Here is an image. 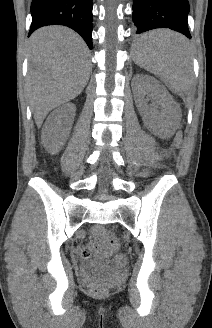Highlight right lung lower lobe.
<instances>
[{"mask_svg":"<svg viewBox=\"0 0 212 328\" xmlns=\"http://www.w3.org/2000/svg\"><path fill=\"white\" fill-rule=\"evenodd\" d=\"M31 15L29 35L42 26L65 25L92 49V0H32Z\"/></svg>","mask_w":212,"mask_h":328,"instance_id":"right-lung-lower-lobe-1","label":"right lung lower lobe"}]
</instances>
